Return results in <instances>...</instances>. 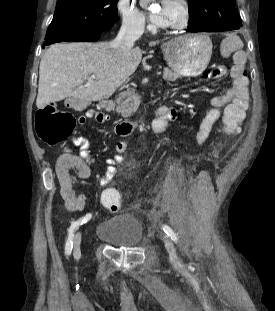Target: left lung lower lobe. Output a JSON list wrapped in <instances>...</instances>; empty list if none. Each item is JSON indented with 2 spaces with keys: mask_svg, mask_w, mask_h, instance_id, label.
Instances as JSON below:
<instances>
[{
  "mask_svg": "<svg viewBox=\"0 0 275 311\" xmlns=\"http://www.w3.org/2000/svg\"><path fill=\"white\" fill-rule=\"evenodd\" d=\"M230 30H234V29L226 28L216 23L191 26L187 29V31H190V32H221V31H230Z\"/></svg>",
  "mask_w": 275,
  "mask_h": 311,
  "instance_id": "left-lung-lower-lobe-1",
  "label": "left lung lower lobe"
}]
</instances>
